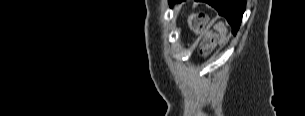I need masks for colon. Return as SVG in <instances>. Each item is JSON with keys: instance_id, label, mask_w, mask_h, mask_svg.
I'll list each match as a JSON object with an SVG mask.
<instances>
[{"instance_id": "colon-1", "label": "colon", "mask_w": 305, "mask_h": 116, "mask_svg": "<svg viewBox=\"0 0 305 116\" xmlns=\"http://www.w3.org/2000/svg\"><path fill=\"white\" fill-rule=\"evenodd\" d=\"M207 18L203 14L192 13L188 16V23L191 30L195 33H201L205 28ZM213 47V36H208L201 43V53L206 56Z\"/></svg>"}]
</instances>
